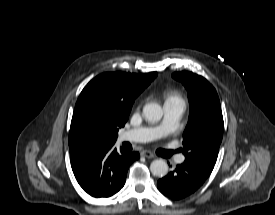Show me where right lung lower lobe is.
<instances>
[{
    "label": "right lung lower lobe",
    "mask_w": 275,
    "mask_h": 215,
    "mask_svg": "<svg viewBox=\"0 0 275 215\" xmlns=\"http://www.w3.org/2000/svg\"><path fill=\"white\" fill-rule=\"evenodd\" d=\"M114 143H96L71 156V167L79 185L89 195L110 197L125 184L131 163L139 153L113 148Z\"/></svg>",
    "instance_id": "right-lung-lower-lobe-1"
}]
</instances>
